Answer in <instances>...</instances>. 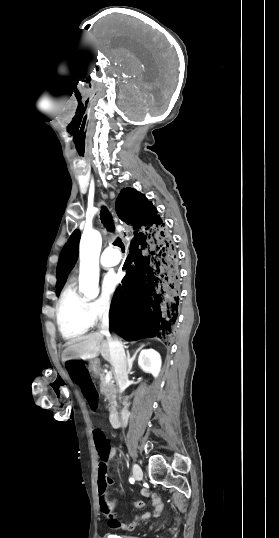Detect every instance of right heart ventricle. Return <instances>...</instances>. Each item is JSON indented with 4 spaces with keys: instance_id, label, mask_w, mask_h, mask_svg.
Masks as SVG:
<instances>
[{
    "instance_id": "right-heart-ventricle-1",
    "label": "right heart ventricle",
    "mask_w": 279,
    "mask_h": 538,
    "mask_svg": "<svg viewBox=\"0 0 279 538\" xmlns=\"http://www.w3.org/2000/svg\"><path fill=\"white\" fill-rule=\"evenodd\" d=\"M90 233L97 232L87 227L82 237ZM91 302L89 297L78 290L75 279L71 278L56 305V321L63 338L68 340L78 338L94 325Z\"/></svg>"
}]
</instances>
